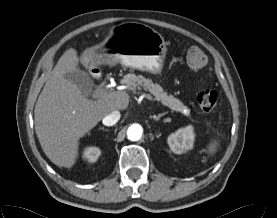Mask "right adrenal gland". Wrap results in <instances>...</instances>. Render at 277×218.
I'll return each mask as SVG.
<instances>
[{"label": "right adrenal gland", "instance_id": "obj_1", "mask_svg": "<svg viewBox=\"0 0 277 218\" xmlns=\"http://www.w3.org/2000/svg\"><path fill=\"white\" fill-rule=\"evenodd\" d=\"M100 129L103 131H108V129H104V127H101Z\"/></svg>", "mask_w": 277, "mask_h": 218}]
</instances>
